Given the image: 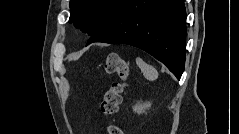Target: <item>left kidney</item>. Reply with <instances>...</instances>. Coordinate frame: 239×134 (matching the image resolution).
Masks as SVG:
<instances>
[{
    "instance_id": "left-kidney-1",
    "label": "left kidney",
    "mask_w": 239,
    "mask_h": 134,
    "mask_svg": "<svg viewBox=\"0 0 239 134\" xmlns=\"http://www.w3.org/2000/svg\"><path fill=\"white\" fill-rule=\"evenodd\" d=\"M150 107H151V102L138 103L133 107V111L137 114H142Z\"/></svg>"
}]
</instances>
